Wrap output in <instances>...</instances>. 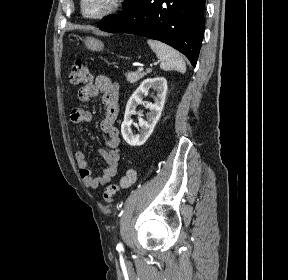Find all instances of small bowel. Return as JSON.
<instances>
[{
	"label": "small bowel",
	"instance_id": "1",
	"mask_svg": "<svg viewBox=\"0 0 288 280\" xmlns=\"http://www.w3.org/2000/svg\"><path fill=\"white\" fill-rule=\"evenodd\" d=\"M97 96H101L105 106V114L100 122V128L107 135L106 149H100L99 154L106 162V167L100 176L95 177L88 165L86 151L79 142H76L75 154L80 178L84 186L91 189H97L111 181L118 172L121 158L120 133L115 126L119 114L118 84L112 82L105 75H98L93 83L82 86L78 91V98L83 103H87ZM92 117L90 111L81 107L74 108L70 114V120L74 124L88 123Z\"/></svg>",
	"mask_w": 288,
	"mask_h": 280
}]
</instances>
